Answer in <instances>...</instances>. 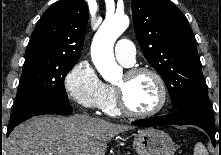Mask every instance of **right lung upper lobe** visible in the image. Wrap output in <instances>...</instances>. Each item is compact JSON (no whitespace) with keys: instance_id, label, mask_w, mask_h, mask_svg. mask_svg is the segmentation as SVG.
I'll return each instance as SVG.
<instances>
[{"instance_id":"1","label":"right lung upper lobe","mask_w":221,"mask_h":155,"mask_svg":"<svg viewBox=\"0 0 221 155\" xmlns=\"http://www.w3.org/2000/svg\"><path fill=\"white\" fill-rule=\"evenodd\" d=\"M87 22L88 6L84 0H60L52 4L37 22L25 58L78 61Z\"/></svg>"}]
</instances>
